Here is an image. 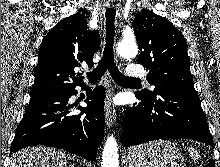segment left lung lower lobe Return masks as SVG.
<instances>
[{"label":"left lung lower lobe","mask_w":220,"mask_h":167,"mask_svg":"<svg viewBox=\"0 0 220 167\" xmlns=\"http://www.w3.org/2000/svg\"><path fill=\"white\" fill-rule=\"evenodd\" d=\"M124 111L123 146L166 138H187L214 146L200 99L196 91L169 86L146 96Z\"/></svg>","instance_id":"obj_1"}]
</instances>
